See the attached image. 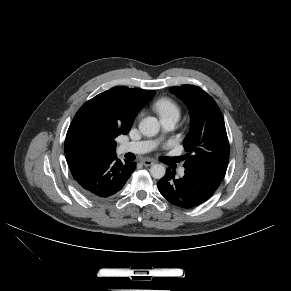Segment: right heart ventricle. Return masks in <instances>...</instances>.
<instances>
[{
	"instance_id": "obj_1",
	"label": "right heart ventricle",
	"mask_w": 291,
	"mask_h": 291,
	"mask_svg": "<svg viewBox=\"0 0 291 291\" xmlns=\"http://www.w3.org/2000/svg\"><path fill=\"white\" fill-rule=\"evenodd\" d=\"M154 110L158 113L161 119L168 117L180 116V106L176 101L169 97H160L153 103Z\"/></svg>"
}]
</instances>
